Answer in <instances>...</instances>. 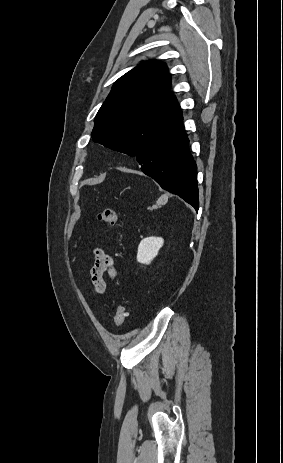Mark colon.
Listing matches in <instances>:
<instances>
[{"label": "colon", "mask_w": 283, "mask_h": 463, "mask_svg": "<svg viewBox=\"0 0 283 463\" xmlns=\"http://www.w3.org/2000/svg\"><path fill=\"white\" fill-rule=\"evenodd\" d=\"M97 219L99 222L109 225L115 226L118 222V214L116 210L107 208L101 210L98 215ZM126 319V307L123 303L118 304L116 307L115 315H114V325L116 327H121Z\"/></svg>", "instance_id": "obj_1"}]
</instances>
